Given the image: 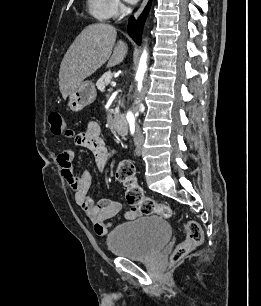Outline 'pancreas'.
Returning a JSON list of instances; mask_svg holds the SVG:
<instances>
[{
  "instance_id": "1",
  "label": "pancreas",
  "mask_w": 261,
  "mask_h": 306,
  "mask_svg": "<svg viewBox=\"0 0 261 306\" xmlns=\"http://www.w3.org/2000/svg\"><path fill=\"white\" fill-rule=\"evenodd\" d=\"M112 78H113V73H111L110 71L104 73L96 83L98 90L103 92L107 87V85L111 83Z\"/></svg>"
}]
</instances>
